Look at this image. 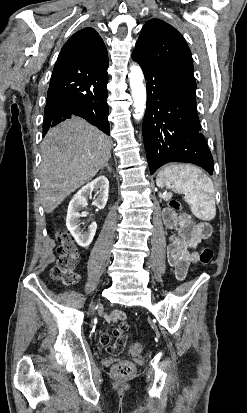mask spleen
<instances>
[{
  "label": "spleen",
  "instance_id": "3e777b00",
  "mask_svg": "<svg viewBox=\"0 0 247 413\" xmlns=\"http://www.w3.org/2000/svg\"><path fill=\"white\" fill-rule=\"evenodd\" d=\"M171 178V184L175 192H183L184 198L196 215L200 217L203 213L202 221H208L212 209H214L215 204L213 198H211L214 192V186L211 178L204 174L200 168H182L177 174H171L170 168H162L157 174L156 184L157 186H165V184H170L169 176ZM215 213V211H214Z\"/></svg>",
  "mask_w": 247,
  "mask_h": 413
}]
</instances>
